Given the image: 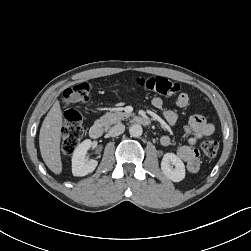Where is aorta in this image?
<instances>
[{
    "label": "aorta",
    "instance_id": "762f6f07",
    "mask_svg": "<svg viewBox=\"0 0 251 251\" xmlns=\"http://www.w3.org/2000/svg\"><path fill=\"white\" fill-rule=\"evenodd\" d=\"M129 133L132 137H139L143 133V129L139 124H133L129 128Z\"/></svg>",
    "mask_w": 251,
    "mask_h": 251
}]
</instances>
